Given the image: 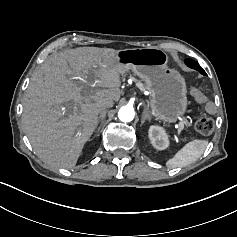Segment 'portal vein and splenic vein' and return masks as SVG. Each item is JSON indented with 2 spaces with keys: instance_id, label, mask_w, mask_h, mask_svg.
Wrapping results in <instances>:
<instances>
[{
  "instance_id": "18ae733b",
  "label": "portal vein and splenic vein",
  "mask_w": 237,
  "mask_h": 237,
  "mask_svg": "<svg viewBox=\"0 0 237 237\" xmlns=\"http://www.w3.org/2000/svg\"><path fill=\"white\" fill-rule=\"evenodd\" d=\"M181 124H179V128H180V133H183L184 131V127L182 126V122H180Z\"/></svg>"
}]
</instances>
